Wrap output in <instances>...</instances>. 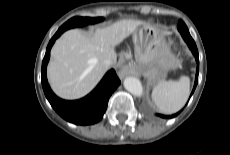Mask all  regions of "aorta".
<instances>
[{
  "label": "aorta",
  "instance_id": "762f6f07",
  "mask_svg": "<svg viewBox=\"0 0 230 155\" xmlns=\"http://www.w3.org/2000/svg\"><path fill=\"white\" fill-rule=\"evenodd\" d=\"M124 87L134 96L141 97L143 95V86L136 77H126L124 79Z\"/></svg>",
  "mask_w": 230,
  "mask_h": 155
}]
</instances>
